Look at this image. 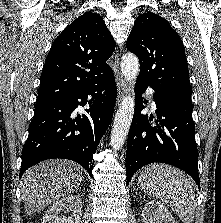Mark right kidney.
<instances>
[{"mask_svg":"<svg viewBox=\"0 0 221 223\" xmlns=\"http://www.w3.org/2000/svg\"><path fill=\"white\" fill-rule=\"evenodd\" d=\"M63 211L69 216L60 215ZM81 214L82 200L80 195L65 196L46 211L41 223H80Z\"/></svg>","mask_w":221,"mask_h":223,"instance_id":"1","label":"right kidney"}]
</instances>
